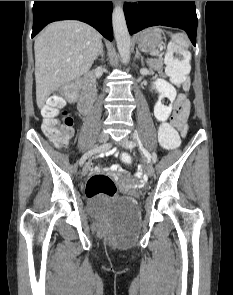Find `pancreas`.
<instances>
[{"mask_svg":"<svg viewBox=\"0 0 233 295\" xmlns=\"http://www.w3.org/2000/svg\"><path fill=\"white\" fill-rule=\"evenodd\" d=\"M148 66L151 70L152 69L157 71L161 70L163 67V58L160 57L158 59H153L148 61Z\"/></svg>","mask_w":233,"mask_h":295,"instance_id":"cf45deb5","label":"pancreas"}]
</instances>
